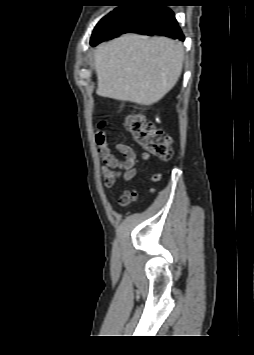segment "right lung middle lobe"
<instances>
[{
  "label": "right lung middle lobe",
  "mask_w": 254,
  "mask_h": 355,
  "mask_svg": "<svg viewBox=\"0 0 254 355\" xmlns=\"http://www.w3.org/2000/svg\"><path fill=\"white\" fill-rule=\"evenodd\" d=\"M116 10V9H115ZM114 10V11H115ZM113 11V12H114ZM113 12H110L108 15H106L105 17H103L98 24L96 25V27L94 28V31L92 33V37H91V41L95 40L98 35L100 34L101 30L103 29V27L105 26L106 22L108 21V19L110 18V16L112 15Z\"/></svg>",
  "instance_id": "right-lung-middle-lobe-1"
}]
</instances>
